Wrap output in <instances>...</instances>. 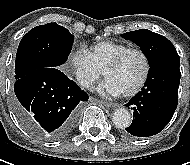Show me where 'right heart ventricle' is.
I'll list each match as a JSON object with an SVG mask.
<instances>
[{
  "instance_id": "obj_1",
  "label": "right heart ventricle",
  "mask_w": 190,
  "mask_h": 165,
  "mask_svg": "<svg viewBox=\"0 0 190 165\" xmlns=\"http://www.w3.org/2000/svg\"><path fill=\"white\" fill-rule=\"evenodd\" d=\"M130 47L124 43L115 41H100L92 44L88 51L90 52L96 65L104 70L105 66L117 55Z\"/></svg>"
}]
</instances>
